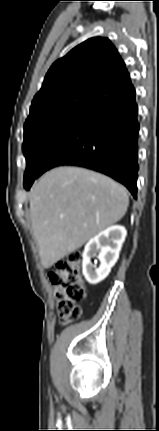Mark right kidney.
<instances>
[{"mask_svg":"<svg viewBox=\"0 0 159 431\" xmlns=\"http://www.w3.org/2000/svg\"><path fill=\"white\" fill-rule=\"evenodd\" d=\"M126 234L123 226L115 225L100 232L86 244L83 252L82 271L90 284H98L108 276L119 258ZM95 256L100 262L98 268L91 262Z\"/></svg>","mask_w":159,"mask_h":431,"instance_id":"ca27d5eb","label":"right kidney"}]
</instances>
